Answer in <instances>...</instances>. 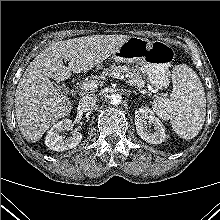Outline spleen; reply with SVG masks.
<instances>
[{
  "instance_id": "obj_1",
  "label": "spleen",
  "mask_w": 220,
  "mask_h": 220,
  "mask_svg": "<svg viewBox=\"0 0 220 220\" xmlns=\"http://www.w3.org/2000/svg\"><path fill=\"white\" fill-rule=\"evenodd\" d=\"M173 90L168 97L154 100L153 109L170 120L174 131L184 139H192L202 129L206 116L204 87L197 74L187 65H177L172 74Z\"/></svg>"
}]
</instances>
